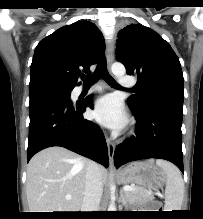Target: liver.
<instances>
[{"label": "liver", "instance_id": "liver-1", "mask_svg": "<svg viewBox=\"0 0 203 219\" xmlns=\"http://www.w3.org/2000/svg\"><path fill=\"white\" fill-rule=\"evenodd\" d=\"M89 160L63 147H48L27 166L26 194L30 212H79ZM99 166L102 185L107 171ZM70 195L71 199H66Z\"/></svg>", "mask_w": 203, "mask_h": 219}]
</instances>
